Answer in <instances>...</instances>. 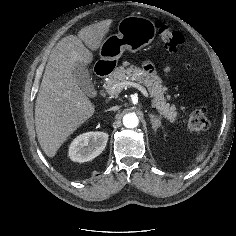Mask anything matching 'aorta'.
Instances as JSON below:
<instances>
[{"label":"aorta","instance_id":"obj_1","mask_svg":"<svg viewBox=\"0 0 236 236\" xmlns=\"http://www.w3.org/2000/svg\"><path fill=\"white\" fill-rule=\"evenodd\" d=\"M139 124V119L136 114L134 113H129L124 115L123 117V125L126 128H135Z\"/></svg>","mask_w":236,"mask_h":236}]
</instances>
